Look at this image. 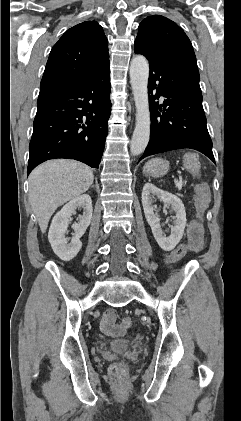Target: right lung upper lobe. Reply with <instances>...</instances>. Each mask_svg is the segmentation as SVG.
I'll return each mask as SVG.
<instances>
[{
    "label": "right lung upper lobe",
    "mask_w": 241,
    "mask_h": 421,
    "mask_svg": "<svg viewBox=\"0 0 241 421\" xmlns=\"http://www.w3.org/2000/svg\"><path fill=\"white\" fill-rule=\"evenodd\" d=\"M109 65L108 40L96 21L68 29L53 46L40 90L90 77Z\"/></svg>",
    "instance_id": "1"
}]
</instances>
